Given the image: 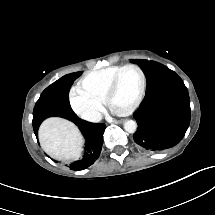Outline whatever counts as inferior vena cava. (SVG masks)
Returning <instances> with one entry per match:
<instances>
[{
    "label": "inferior vena cava",
    "mask_w": 215,
    "mask_h": 215,
    "mask_svg": "<svg viewBox=\"0 0 215 215\" xmlns=\"http://www.w3.org/2000/svg\"><path fill=\"white\" fill-rule=\"evenodd\" d=\"M82 119L87 120L89 122H100L102 120V115L98 111H86L81 115Z\"/></svg>",
    "instance_id": "1"
}]
</instances>
